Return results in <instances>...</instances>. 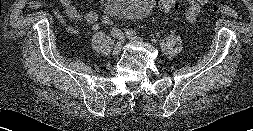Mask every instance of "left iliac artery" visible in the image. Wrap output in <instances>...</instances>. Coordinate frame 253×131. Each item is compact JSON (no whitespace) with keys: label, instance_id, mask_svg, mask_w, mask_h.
<instances>
[{"label":"left iliac artery","instance_id":"left-iliac-artery-1","mask_svg":"<svg viewBox=\"0 0 253 131\" xmlns=\"http://www.w3.org/2000/svg\"><path fill=\"white\" fill-rule=\"evenodd\" d=\"M126 35H127V37H129V36H137V32L135 30H133V29H128V30H126Z\"/></svg>","mask_w":253,"mask_h":131}]
</instances>
